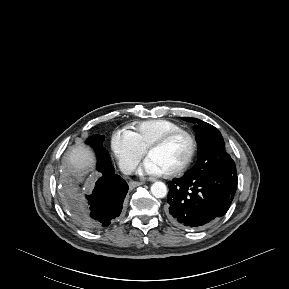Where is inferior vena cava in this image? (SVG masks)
Returning a JSON list of instances; mask_svg holds the SVG:
<instances>
[{
	"mask_svg": "<svg viewBox=\"0 0 289 289\" xmlns=\"http://www.w3.org/2000/svg\"><path fill=\"white\" fill-rule=\"evenodd\" d=\"M135 169H136V165L133 163H128V164L121 166V171L127 175L133 174Z\"/></svg>",
	"mask_w": 289,
	"mask_h": 289,
	"instance_id": "obj_1",
	"label": "inferior vena cava"
}]
</instances>
